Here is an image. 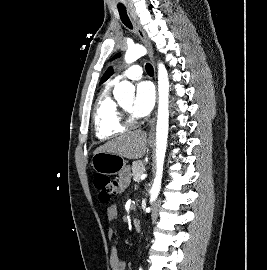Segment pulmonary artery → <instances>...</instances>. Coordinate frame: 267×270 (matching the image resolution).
<instances>
[{
  "label": "pulmonary artery",
  "mask_w": 267,
  "mask_h": 270,
  "mask_svg": "<svg viewBox=\"0 0 267 270\" xmlns=\"http://www.w3.org/2000/svg\"><path fill=\"white\" fill-rule=\"evenodd\" d=\"M143 69L140 65H132L125 71L117 75L116 79L128 78L131 80H138L142 77Z\"/></svg>",
  "instance_id": "1"
}]
</instances>
